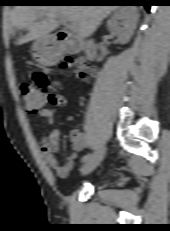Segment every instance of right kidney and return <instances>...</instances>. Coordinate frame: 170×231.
<instances>
[{"label":"right kidney","mask_w":170,"mask_h":231,"mask_svg":"<svg viewBox=\"0 0 170 231\" xmlns=\"http://www.w3.org/2000/svg\"><path fill=\"white\" fill-rule=\"evenodd\" d=\"M138 17L137 8L132 6L121 7L108 20L107 26L117 35L118 41L125 44L130 40L136 29Z\"/></svg>","instance_id":"ca27d5eb"}]
</instances>
